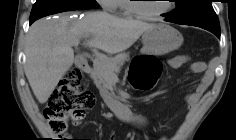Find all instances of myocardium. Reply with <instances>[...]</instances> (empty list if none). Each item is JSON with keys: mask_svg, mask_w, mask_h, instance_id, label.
<instances>
[{"mask_svg": "<svg viewBox=\"0 0 236 140\" xmlns=\"http://www.w3.org/2000/svg\"><path fill=\"white\" fill-rule=\"evenodd\" d=\"M133 2H128V7L129 10L138 18L141 19H155V18H159L163 15H165L166 13L170 12L173 8V3H171L172 0H169L168 6L166 9L160 11V12H155V13H149V12H145L144 10L141 9L140 5L135 2L136 0H131Z\"/></svg>", "mask_w": 236, "mask_h": 140, "instance_id": "1", "label": "myocardium"}]
</instances>
